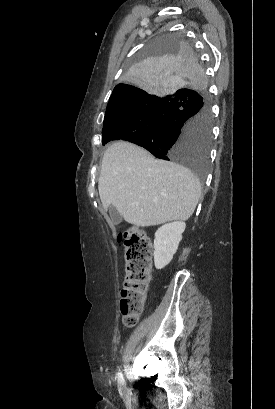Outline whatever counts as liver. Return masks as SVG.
<instances>
[{
	"mask_svg": "<svg viewBox=\"0 0 275 409\" xmlns=\"http://www.w3.org/2000/svg\"><path fill=\"white\" fill-rule=\"evenodd\" d=\"M98 190L105 211L112 205L127 223L150 227L187 221L200 198L201 184L186 166L159 160L137 144L118 140L103 154Z\"/></svg>",
	"mask_w": 275,
	"mask_h": 409,
	"instance_id": "6515ba94",
	"label": "liver"
}]
</instances>
